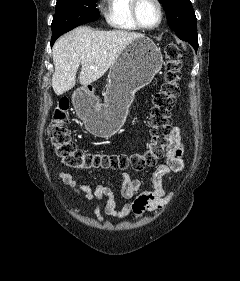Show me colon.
Wrapping results in <instances>:
<instances>
[{"label": "colon", "instance_id": "5ec220e1", "mask_svg": "<svg viewBox=\"0 0 240 281\" xmlns=\"http://www.w3.org/2000/svg\"><path fill=\"white\" fill-rule=\"evenodd\" d=\"M182 51L176 43L165 48L164 82L153 95L149 115L151 140L147 148L135 154L101 153L83 150L72 140L69 129V101L63 98L54 110L48 129L52 151L69 168L128 169L142 170L155 165L166 156L171 130L170 112L179 94L178 82L181 77Z\"/></svg>", "mask_w": 240, "mask_h": 281}]
</instances>
